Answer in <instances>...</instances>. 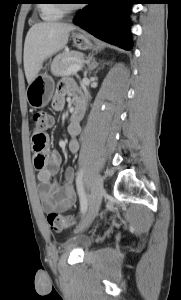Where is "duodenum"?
<instances>
[{"label": "duodenum", "mask_w": 181, "mask_h": 300, "mask_svg": "<svg viewBox=\"0 0 181 300\" xmlns=\"http://www.w3.org/2000/svg\"><path fill=\"white\" fill-rule=\"evenodd\" d=\"M84 112V103L82 101H76L74 113L72 115V122H77Z\"/></svg>", "instance_id": "410a0bca"}]
</instances>
